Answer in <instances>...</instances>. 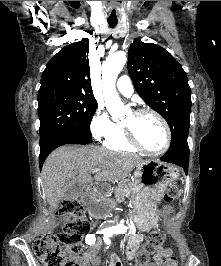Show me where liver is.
Returning <instances> with one entry per match:
<instances>
[{
    "mask_svg": "<svg viewBox=\"0 0 221 266\" xmlns=\"http://www.w3.org/2000/svg\"><path fill=\"white\" fill-rule=\"evenodd\" d=\"M143 160L137 155L118 153L93 145H67L54 150L42 168L43 189L47 202L56 209L74 184L92 182L91 171L101 168L96 182L123 180Z\"/></svg>",
    "mask_w": 221,
    "mask_h": 266,
    "instance_id": "obj_1",
    "label": "liver"
}]
</instances>
